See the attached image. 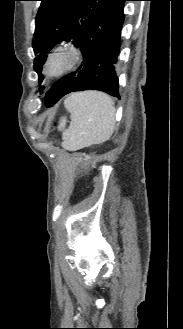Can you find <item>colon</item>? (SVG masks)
I'll list each match as a JSON object with an SVG mask.
<instances>
[{
	"label": "colon",
	"mask_w": 183,
	"mask_h": 329,
	"mask_svg": "<svg viewBox=\"0 0 183 329\" xmlns=\"http://www.w3.org/2000/svg\"><path fill=\"white\" fill-rule=\"evenodd\" d=\"M65 123H66V119L65 117H62L55 123V126L57 127V129L60 130L65 126Z\"/></svg>",
	"instance_id": "obj_1"
}]
</instances>
